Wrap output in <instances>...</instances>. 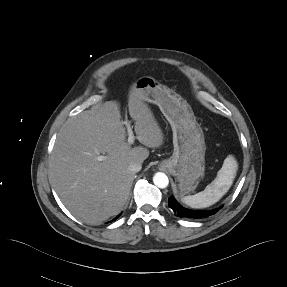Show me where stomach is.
<instances>
[{
  "instance_id": "0dacf381",
  "label": "stomach",
  "mask_w": 287,
  "mask_h": 287,
  "mask_svg": "<svg viewBox=\"0 0 287 287\" xmlns=\"http://www.w3.org/2000/svg\"><path fill=\"white\" fill-rule=\"evenodd\" d=\"M134 89L144 101L158 105L172 127L174 151L160 166L175 177L181 197L194 192L204 176L206 145L191 106L150 76L137 79Z\"/></svg>"
}]
</instances>
